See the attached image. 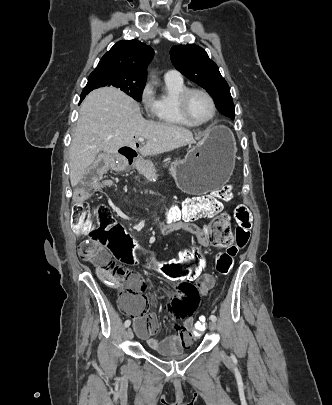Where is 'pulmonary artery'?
Here are the masks:
<instances>
[{
    "instance_id": "e3ab8cb5",
    "label": "pulmonary artery",
    "mask_w": 332,
    "mask_h": 405,
    "mask_svg": "<svg viewBox=\"0 0 332 405\" xmlns=\"http://www.w3.org/2000/svg\"><path fill=\"white\" fill-rule=\"evenodd\" d=\"M164 77L165 79L182 80L181 74L177 70H168Z\"/></svg>"
}]
</instances>
